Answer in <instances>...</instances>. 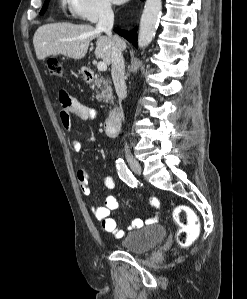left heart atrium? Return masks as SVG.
I'll return each mask as SVG.
<instances>
[{"mask_svg": "<svg viewBox=\"0 0 247 299\" xmlns=\"http://www.w3.org/2000/svg\"><path fill=\"white\" fill-rule=\"evenodd\" d=\"M114 3H117V4H120V3H123L127 0H112Z\"/></svg>", "mask_w": 247, "mask_h": 299, "instance_id": "obj_1", "label": "left heart atrium"}]
</instances>
